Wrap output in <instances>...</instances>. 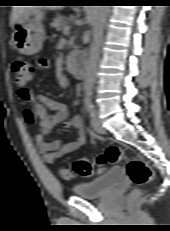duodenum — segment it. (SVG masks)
<instances>
[{"label":"duodenum","instance_id":"1","mask_svg":"<svg viewBox=\"0 0 170 231\" xmlns=\"http://www.w3.org/2000/svg\"><path fill=\"white\" fill-rule=\"evenodd\" d=\"M70 69L75 73L77 78L83 79L85 75V63L82 59L80 58H74V59H69L66 60L65 62Z\"/></svg>","mask_w":170,"mask_h":231}]
</instances>
